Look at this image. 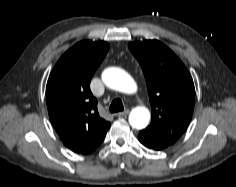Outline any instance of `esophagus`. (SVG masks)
<instances>
[{
    "instance_id": "esophagus-1",
    "label": "esophagus",
    "mask_w": 236,
    "mask_h": 187,
    "mask_svg": "<svg viewBox=\"0 0 236 187\" xmlns=\"http://www.w3.org/2000/svg\"><path fill=\"white\" fill-rule=\"evenodd\" d=\"M128 114H129V110L127 109V110H125V111H122V112L117 113L116 116H118V117H123V116H126V115H128Z\"/></svg>"
}]
</instances>
